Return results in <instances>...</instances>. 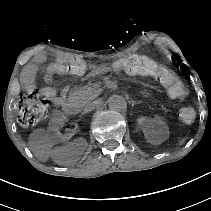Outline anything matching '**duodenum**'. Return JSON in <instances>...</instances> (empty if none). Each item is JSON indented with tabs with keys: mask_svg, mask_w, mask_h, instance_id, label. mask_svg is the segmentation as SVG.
<instances>
[{
	"mask_svg": "<svg viewBox=\"0 0 211 211\" xmlns=\"http://www.w3.org/2000/svg\"><path fill=\"white\" fill-rule=\"evenodd\" d=\"M63 110L68 115H76L80 110L79 104L74 100H67L63 104Z\"/></svg>",
	"mask_w": 211,
	"mask_h": 211,
	"instance_id": "1",
	"label": "duodenum"
}]
</instances>
